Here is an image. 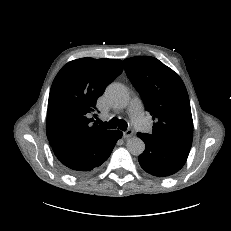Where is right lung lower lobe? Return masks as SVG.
Instances as JSON below:
<instances>
[{
	"label": "right lung lower lobe",
	"mask_w": 231,
	"mask_h": 231,
	"mask_svg": "<svg viewBox=\"0 0 231 231\" xmlns=\"http://www.w3.org/2000/svg\"><path fill=\"white\" fill-rule=\"evenodd\" d=\"M120 131L107 133L87 141L52 145L57 159L66 171L73 175L83 174L99 167L110 156Z\"/></svg>",
	"instance_id": "1"
}]
</instances>
